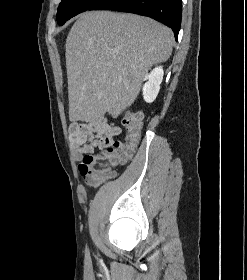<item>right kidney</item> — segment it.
<instances>
[{"label":"right kidney","mask_w":247,"mask_h":280,"mask_svg":"<svg viewBox=\"0 0 247 280\" xmlns=\"http://www.w3.org/2000/svg\"><path fill=\"white\" fill-rule=\"evenodd\" d=\"M163 74V68L159 66L153 69L149 75L145 76V80H148L143 86V97L146 102L151 103L156 99Z\"/></svg>","instance_id":"1"}]
</instances>
